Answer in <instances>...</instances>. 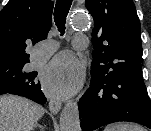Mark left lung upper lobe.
I'll return each instance as SVG.
<instances>
[{
	"label": "left lung upper lobe",
	"instance_id": "obj_1",
	"mask_svg": "<svg viewBox=\"0 0 151 131\" xmlns=\"http://www.w3.org/2000/svg\"><path fill=\"white\" fill-rule=\"evenodd\" d=\"M94 19L91 79L110 80L142 66L140 21L132 0H86Z\"/></svg>",
	"mask_w": 151,
	"mask_h": 131
}]
</instances>
